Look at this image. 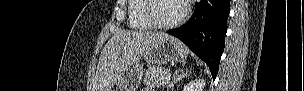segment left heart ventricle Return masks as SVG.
<instances>
[{"instance_id": "1", "label": "left heart ventricle", "mask_w": 304, "mask_h": 91, "mask_svg": "<svg viewBox=\"0 0 304 91\" xmlns=\"http://www.w3.org/2000/svg\"><path fill=\"white\" fill-rule=\"evenodd\" d=\"M182 11L183 5L180 0H156L153 3V15L161 23L174 21Z\"/></svg>"}]
</instances>
